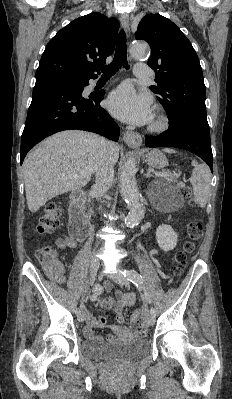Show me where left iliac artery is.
<instances>
[{"instance_id": "obj_1", "label": "left iliac artery", "mask_w": 232, "mask_h": 399, "mask_svg": "<svg viewBox=\"0 0 232 399\" xmlns=\"http://www.w3.org/2000/svg\"><path fill=\"white\" fill-rule=\"evenodd\" d=\"M121 273L124 275V277L127 278L128 281L132 282L138 290H142L145 286V280L136 270L124 269L123 271H121ZM151 315L153 317L156 316V310L154 308L151 309Z\"/></svg>"}]
</instances>
